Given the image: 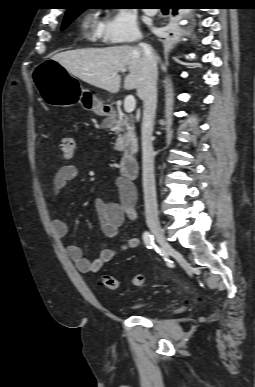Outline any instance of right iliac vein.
Returning <instances> with one entry per match:
<instances>
[{
  "instance_id": "right-iliac-vein-1",
  "label": "right iliac vein",
  "mask_w": 255,
  "mask_h": 387,
  "mask_svg": "<svg viewBox=\"0 0 255 387\" xmlns=\"http://www.w3.org/2000/svg\"><path fill=\"white\" fill-rule=\"evenodd\" d=\"M148 226H149L151 232L154 234V236H155L157 242L159 243V245L161 246L162 250L165 253H169L171 250V246L167 242L164 230L162 229L160 224L158 222H150L148 224Z\"/></svg>"
}]
</instances>
